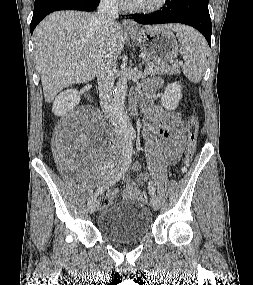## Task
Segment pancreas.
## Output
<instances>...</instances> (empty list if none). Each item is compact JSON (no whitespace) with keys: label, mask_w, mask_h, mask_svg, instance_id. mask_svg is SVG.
I'll list each match as a JSON object with an SVG mask.
<instances>
[{"label":"pancreas","mask_w":253,"mask_h":285,"mask_svg":"<svg viewBox=\"0 0 253 285\" xmlns=\"http://www.w3.org/2000/svg\"><path fill=\"white\" fill-rule=\"evenodd\" d=\"M146 67L151 66V75L158 74H180V67L178 65L169 66L168 64L158 63V62H146Z\"/></svg>","instance_id":"cf45deb5"}]
</instances>
